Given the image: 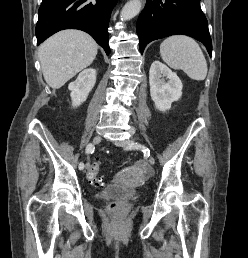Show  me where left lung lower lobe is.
Instances as JSON below:
<instances>
[{"label":"left lung lower lobe","instance_id":"1","mask_svg":"<svg viewBox=\"0 0 248 258\" xmlns=\"http://www.w3.org/2000/svg\"><path fill=\"white\" fill-rule=\"evenodd\" d=\"M136 30L141 53L151 41L174 34L191 36L206 46L210 56L212 53L208 23L200 0H147Z\"/></svg>","mask_w":248,"mask_h":258}]
</instances>
